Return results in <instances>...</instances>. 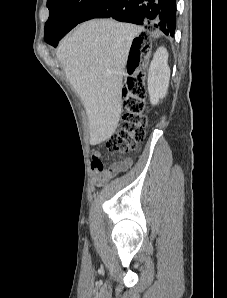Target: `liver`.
<instances>
[{
    "instance_id": "6515ba94",
    "label": "liver",
    "mask_w": 227,
    "mask_h": 298,
    "mask_svg": "<svg viewBox=\"0 0 227 298\" xmlns=\"http://www.w3.org/2000/svg\"><path fill=\"white\" fill-rule=\"evenodd\" d=\"M141 27L93 19L61 40L57 58L81 98L89 121L90 144L109 139L121 115L124 69Z\"/></svg>"
}]
</instances>
